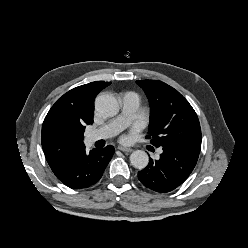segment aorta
<instances>
[{
  "label": "aorta",
  "mask_w": 248,
  "mask_h": 248,
  "mask_svg": "<svg viewBox=\"0 0 248 248\" xmlns=\"http://www.w3.org/2000/svg\"><path fill=\"white\" fill-rule=\"evenodd\" d=\"M95 111L102 117H113L119 111V103L111 94H101L95 100ZM131 164L137 169H144L149 162L147 153L136 150L130 155Z\"/></svg>",
  "instance_id": "aorta-1"
}]
</instances>
